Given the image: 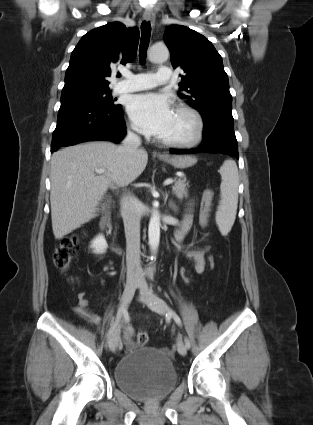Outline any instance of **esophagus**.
I'll return each mask as SVG.
<instances>
[{"label":"esophagus","instance_id":"34e87169","mask_svg":"<svg viewBox=\"0 0 313 425\" xmlns=\"http://www.w3.org/2000/svg\"><path fill=\"white\" fill-rule=\"evenodd\" d=\"M143 19L146 21H151L154 24L155 21V14L152 10L148 9L143 14ZM157 156H164L161 153H155Z\"/></svg>","mask_w":313,"mask_h":425}]
</instances>
